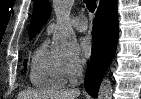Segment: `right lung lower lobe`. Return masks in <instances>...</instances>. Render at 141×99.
I'll return each mask as SVG.
<instances>
[{
  "instance_id": "right-lung-lower-lobe-1",
  "label": "right lung lower lobe",
  "mask_w": 141,
  "mask_h": 99,
  "mask_svg": "<svg viewBox=\"0 0 141 99\" xmlns=\"http://www.w3.org/2000/svg\"><path fill=\"white\" fill-rule=\"evenodd\" d=\"M93 47L84 86L93 98L97 97L100 81L116 51L118 17L116 0L100 3L92 29Z\"/></svg>"
}]
</instances>
